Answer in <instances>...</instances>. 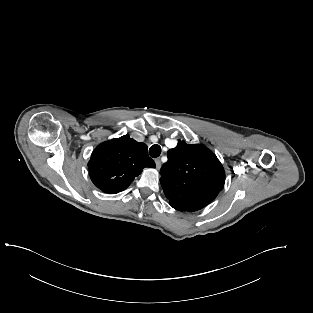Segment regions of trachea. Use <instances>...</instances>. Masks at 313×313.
<instances>
[{"label":"trachea","mask_w":313,"mask_h":313,"mask_svg":"<svg viewBox=\"0 0 313 313\" xmlns=\"http://www.w3.org/2000/svg\"><path fill=\"white\" fill-rule=\"evenodd\" d=\"M149 154L153 158H157L161 154V147L157 144H154L149 149Z\"/></svg>","instance_id":"obj_1"}]
</instances>
